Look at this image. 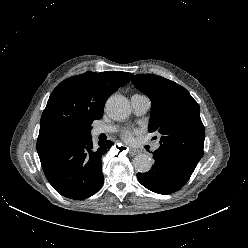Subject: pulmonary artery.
<instances>
[{
    "label": "pulmonary artery",
    "instance_id": "e3ab8cb5",
    "mask_svg": "<svg viewBox=\"0 0 248 248\" xmlns=\"http://www.w3.org/2000/svg\"><path fill=\"white\" fill-rule=\"evenodd\" d=\"M131 105L135 115L142 116L144 115L148 109L150 108V100L145 95L134 94L131 96ZM116 128L110 125H100L96 126L92 130V134L94 136H99L100 134H106L114 132ZM159 147V144L155 145V149Z\"/></svg>",
    "mask_w": 248,
    "mask_h": 248
}]
</instances>
